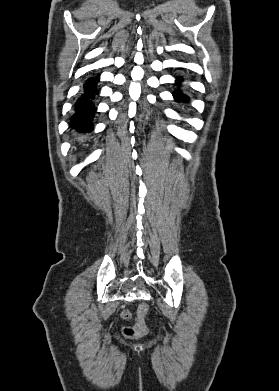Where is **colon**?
<instances>
[{"label": "colon", "instance_id": "obj_1", "mask_svg": "<svg viewBox=\"0 0 279 391\" xmlns=\"http://www.w3.org/2000/svg\"><path fill=\"white\" fill-rule=\"evenodd\" d=\"M149 313L147 304H141L137 310V318L134 326H125L122 329L123 336L127 338H139L147 334L146 319Z\"/></svg>", "mask_w": 279, "mask_h": 391}]
</instances>
